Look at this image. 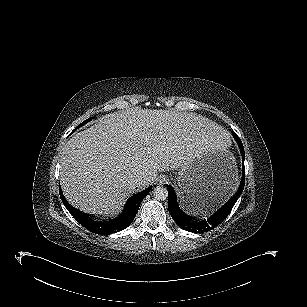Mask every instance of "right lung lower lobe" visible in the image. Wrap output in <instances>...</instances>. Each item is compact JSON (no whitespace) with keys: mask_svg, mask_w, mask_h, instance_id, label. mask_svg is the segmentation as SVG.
Listing matches in <instances>:
<instances>
[{"mask_svg":"<svg viewBox=\"0 0 307 307\" xmlns=\"http://www.w3.org/2000/svg\"><path fill=\"white\" fill-rule=\"evenodd\" d=\"M151 188L152 186L130 197L127 200L126 205L120 216L109 221L92 220L88 214H85L75 209L67 202V200L63 196L61 188H59V193L61 200L65 205V207L67 208V210L75 218V220L78 221L83 227L96 234L109 235L124 230L132 223L138 212L142 200L149 193Z\"/></svg>","mask_w":307,"mask_h":307,"instance_id":"98d812e1","label":"right lung lower lobe"}]
</instances>
